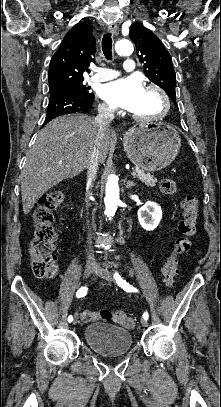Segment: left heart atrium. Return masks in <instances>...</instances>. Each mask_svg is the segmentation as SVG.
<instances>
[{
  "instance_id": "1",
  "label": "left heart atrium",
  "mask_w": 221,
  "mask_h": 407,
  "mask_svg": "<svg viewBox=\"0 0 221 407\" xmlns=\"http://www.w3.org/2000/svg\"><path fill=\"white\" fill-rule=\"evenodd\" d=\"M143 91L140 79L130 76L103 85L100 95L113 107L132 110L137 105Z\"/></svg>"
}]
</instances>
